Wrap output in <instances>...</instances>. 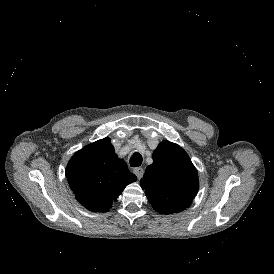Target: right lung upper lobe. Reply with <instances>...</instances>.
Wrapping results in <instances>:
<instances>
[{"mask_svg": "<svg viewBox=\"0 0 274 274\" xmlns=\"http://www.w3.org/2000/svg\"><path fill=\"white\" fill-rule=\"evenodd\" d=\"M66 177L76 199L93 212H107L124 188L137 180L117 157L110 138L77 151L66 167Z\"/></svg>", "mask_w": 274, "mask_h": 274, "instance_id": "obj_1", "label": "right lung upper lobe"}]
</instances>
